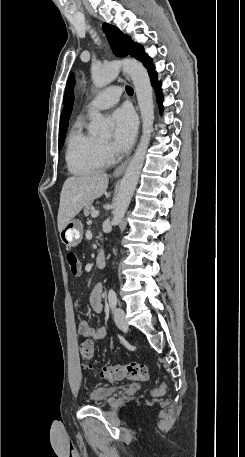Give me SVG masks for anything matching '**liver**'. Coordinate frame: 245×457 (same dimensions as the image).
Returning a JSON list of instances; mask_svg holds the SVG:
<instances>
[{"instance_id":"1","label":"liver","mask_w":245,"mask_h":457,"mask_svg":"<svg viewBox=\"0 0 245 457\" xmlns=\"http://www.w3.org/2000/svg\"><path fill=\"white\" fill-rule=\"evenodd\" d=\"M109 182L105 172H89L83 176H69L62 186L58 210V231L74 218L87 202L102 196Z\"/></svg>"}]
</instances>
